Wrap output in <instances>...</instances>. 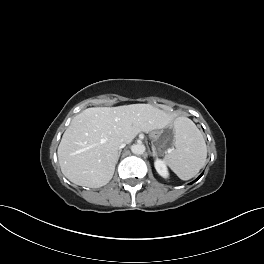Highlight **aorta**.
I'll return each mask as SVG.
<instances>
[{
    "mask_svg": "<svg viewBox=\"0 0 264 264\" xmlns=\"http://www.w3.org/2000/svg\"><path fill=\"white\" fill-rule=\"evenodd\" d=\"M131 150H132V153L136 155H141L145 152L146 148L144 144H135L132 146Z\"/></svg>",
    "mask_w": 264,
    "mask_h": 264,
    "instance_id": "obj_1",
    "label": "aorta"
}]
</instances>
